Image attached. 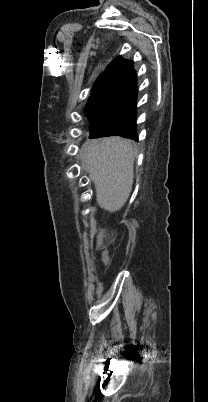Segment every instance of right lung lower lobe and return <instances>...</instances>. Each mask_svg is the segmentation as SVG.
Wrapping results in <instances>:
<instances>
[{"instance_id":"1","label":"right lung lower lobe","mask_w":208,"mask_h":402,"mask_svg":"<svg viewBox=\"0 0 208 402\" xmlns=\"http://www.w3.org/2000/svg\"><path fill=\"white\" fill-rule=\"evenodd\" d=\"M110 88L119 91L122 100H124L120 115L116 122L103 118L90 120L92 126L89 137L99 138L118 135L137 141L135 129L137 90L133 62L110 84Z\"/></svg>"}]
</instances>
